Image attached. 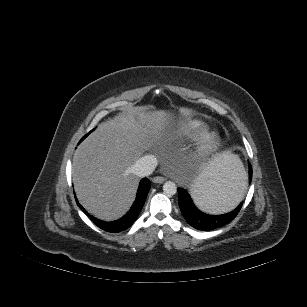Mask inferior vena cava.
I'll use <instances>...</instances> for the list:
<instances>
[{
  "label": "inferior vena cava",
  "instance_id": "602c4592",
  "mask_svg": "<svg viewBox=\"0 0 307 307\" xmlns=\"http://www.w3.org/2000/svg\"><path fill=\"white\" fill-rule=\"evenodd\" d=\"M158 162L155 156L145 155L139 158L132 167L133 173L139 177L149 176L153 173Z\"/></svg>",
  "mask_w": 307,
  "mask_h": 307
}]
</instances>
